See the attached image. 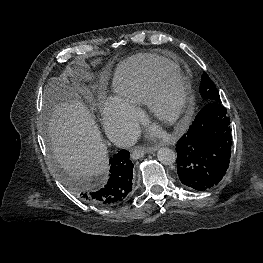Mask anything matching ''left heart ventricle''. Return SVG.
Returning a JSON list of instances; mask_svg holds the SVG:
<instances>
[{"mask_svg": "<svg viewBox=\"0 0 263 263\" xmlns=\"http://www.w3.org/2000/svg\"><path fill=\"white\" fill-rule=\"evenodd\" d=\"M180 102L179 87L175 82L166 83L159 99V110L162 115L168 117L174 114Z\"/></svg>", "mask_w": 263, "mask_h": 263, "instance_id": "obj_1", "label": "left heart ventricle"}]
</instances>
